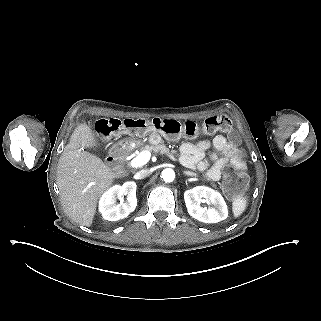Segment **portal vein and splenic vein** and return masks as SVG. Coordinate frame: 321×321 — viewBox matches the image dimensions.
Listing matches in <instances>:
<instances>
[{
  "mask_svg": "<svg viewBox=\"0 0 321 321\" xmlns=\"http://www.w3.org/2000/svg\"><path fill=\"white\" fill-rule=\"evenodd\" d=\"M151 158V152L149 151H142L139 155L133 158L131 161L128 162V166L132 168H138L146 163L149 162Z\"/></svg>",
  "mask_w": 321,
  "mask_h": 321,
  "instance_id": "1",
  "label": "portal vein and splenic vein"
}]
</instances>
